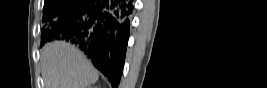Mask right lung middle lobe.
<instances>
[{
  "instance_id": "right-lung-middle-lobe-1",
  "label": "right lung middle lobe",
  "mask_w": 267,
  "mask_h": 88,
  "mask_svg": "<svg viewBox=\"0 0 267 88\" xmlns=\"http://www.w3.org/2000/svg\"><path fill=\"white\" fill-rule=\"evenodd\" d=\"M75 2L76 0H45L42 21L49 23V21L57 18L61 12L69 8ZM41 37L42 43H44L48 37V33L43 30Z\"/></svg>"
}]
</instances>
